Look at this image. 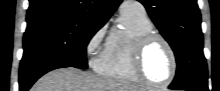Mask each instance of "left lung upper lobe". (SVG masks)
Wrapping results in <instances>:
<instances>
[{
    "label": "left lung upper lobe",
    "instance_id": "5c2ea615",
    "mask_svg": "<svg viewBox=\"0 0 220 91\" xmlns=\"http://www.w3.org/2000/svg\"><path fill=\"white\" fill-rule=\"evenodd\" d=\"M139 2L145 6L152 21L175 53L177 72L170 86L173 89L208 88L201 15L197 0Z\"/></svg>",
    "mask_w": 220,
    "mask_h": 91
}]
</instances>
